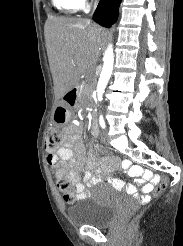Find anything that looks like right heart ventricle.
I'll return each instance as SVG.
<instances>
[{
  "instance_id": "e07e8e85",
  "label": "right heart ventricle",
  "mask_w": 183,
  "mask_h": 246,
  "mask_svg": "<svg viewBox=\"0 0 183 246\" xmlns=\"http://www.w3.org/2000/svg\"><path fill=\"white\" fill-rule=\"evenodd\" d=\"M51 2L55 9L66 14L74 13L80 8L77 0H51Z\"/></svg>"
}]
</instances>
